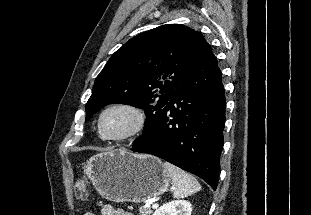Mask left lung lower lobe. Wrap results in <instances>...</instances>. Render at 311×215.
<instances>
[{
	"label": "left lung lower lobe",
	"mask_w": 311,
	"mask_h": 215,
	"mask_svg": "<svg viewBox=\"0 0 311 215\" xmlns=\"http://www.w3.org/2000/svg\"><path fill=\"white\" fill-rule=\"evenodd\" d=\"M225 91L207 42L173 95L132 151L160 157L204 179L214 190L225 125Z\"/></svg>",
	"instance_id": "0a47b994"
}]
</instances>
